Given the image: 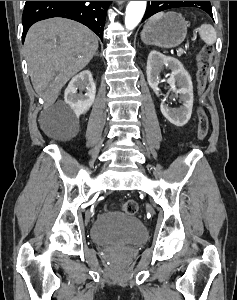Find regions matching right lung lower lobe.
I'll list each match as a JSON object with an SVG mask.
<instances>
[{
    "mask_svg": "<svg viewBox=\"0 0 237 300\" xmlns=\"http://www.w3.org/2000/svg\"><path fill=\"white\" fill-rule=\"evenodd\" d=\"M108 7L109 1H26L22 16V40L24 42L29 27L35 22L64 17L86 25L103 41Z\"/></svg>",
    "mask_w": 237,
    "mask_h": 300,
    "instance_id": "98d812e1",
    "label": "right lung lower lobe"
}]
</instances>
